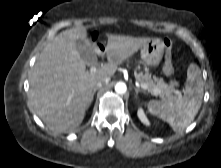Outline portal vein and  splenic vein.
I'll list each match as a JSON object with an SVG mask.
<instances>
[{"mask_svg": "<svg viewBox=\"0 0 221 168\" xmlns=\"http://www.w3.org/2000/svg\"><path fill=\"white\" fill-rule=\"evenodd\" d=\"M91 72H96L97 71V68L96 67H92L90 69ZM140 87L144 90H148V86L144 83H140ZM177 95H181V92L179 90H175L174 91Z\"/></svg>", "mask_w": 221, "mask_h": 168, "instance_id": "18ae733b", "label": "portal vein and splenic vein"}]
</instances>
